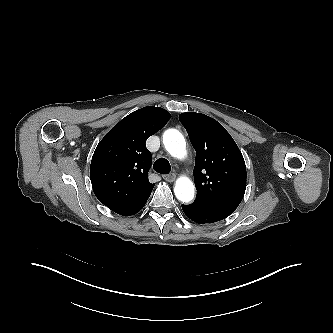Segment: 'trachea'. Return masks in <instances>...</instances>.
Wrapping results in <instances>:
<instances>
[{"mask_svg": "<svg viewBox=\"0 0 333 333\" xmlns=\"http://www.w3.org/2000/svg\"><path fill=\"white\" fill-rule=\"evenodd\" d=\"M153 169L160 174H168L171 170V166L167 159L159 158L155 161Z\"/></svg>", "mask_w": 333, "mask_h": 333, "instance_id": "3493384b", "label": "trachea"}]
</instances>
